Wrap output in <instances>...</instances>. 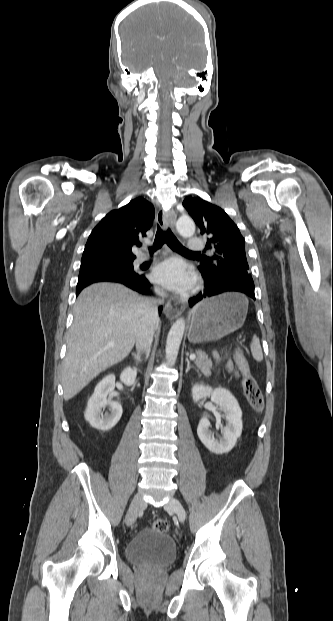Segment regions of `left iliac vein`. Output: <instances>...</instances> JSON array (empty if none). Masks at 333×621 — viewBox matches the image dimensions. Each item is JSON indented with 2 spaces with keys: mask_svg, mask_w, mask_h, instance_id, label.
I'll use <instances>...</instances> for the list:
<instances>
[{
  "mask_svg": "<svg viewBox=\"0 0 333 621\" xmlns=\"http://www.w3.org/2000/svg\"><path fill=\"white\" fill-rule=\"evenodd\" d=\"M165 509L168 511H173L177 515L180 522H184L186 518V512L179 500L172 497L169 502L166 503Z\"/></svg>",
  "mask_w": 333,
  "mask_h": 621,
  "instance_id": "obj_1",
  "label": "left iliac vein"
}]
</instances>
